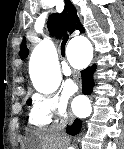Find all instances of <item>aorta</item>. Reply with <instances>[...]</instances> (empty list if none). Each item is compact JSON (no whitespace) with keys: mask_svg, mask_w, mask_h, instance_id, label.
Returning a JSON list of instances; mask_svg holds the SVG:
<instances>
[{"mask_svg":"<svg viewBox=\"0 0 124 149\" xmlns=\"http://www.w3.org/2000/svg\"><path fill=\"white\" fill-rule=\"evenodd\" d=\"M70 46L76 47L79 51L89 53L92 50L91 43L86 37L73 39ZM31 80L34 88L43 94H49L58 88L61 80L59 66L54 51L41 45L35 52L31 67ZM91 105L88 99H84L81 117H88L91 114ZM70 149H74L70 147Z\"/></svg>","mask_w":124,"mask_h":149,"instance_id":"762f6f07","label":"aorta"}]
</instances>
